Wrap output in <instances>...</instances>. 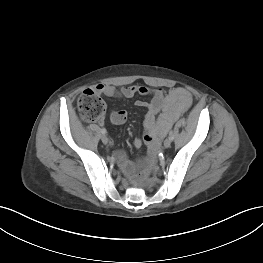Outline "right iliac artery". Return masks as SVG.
I'll return each instance as SVG.
<instances>
[{"label":"right iliac artery","instance_id":"82829eb1","mask_svg":"<svg viewBox=\"0 0 263 263\" xmlns=\"http://www.w3.org/2000/svg\"><path fill=\"white\" fill-rule=\"evenodd\" d=\"M101 133L105 135V134L107 133L106 129H105V128H102V129H101Z\"/></svg>","mask_w":263,"mask_h":263}]
</instances>
